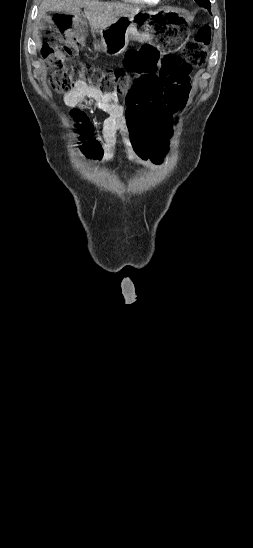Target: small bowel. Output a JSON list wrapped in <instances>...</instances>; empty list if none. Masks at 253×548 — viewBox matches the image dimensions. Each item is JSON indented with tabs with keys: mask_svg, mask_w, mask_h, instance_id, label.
I'll return each mask as SVG.
<instances>
[{
	"mask_svg": "<svg viewBox=\"0 0 253 548\" xmlns=\"http://www.w3.org/2000/svg\"><path fill=\"white\" fill-rule=\"evenodd\" d=\"M152 60L160 59L158 56ZM190 90V87H189ZM64 101L68 106H75L86 102L89 105L107 114V118L101 127L100 153L97 157L102 163H107L113 159L116 153V136L121 134L125 145V157L127 160L136 164L156 167L152 159H139L136 157V150L133 142L130 140L131 133L129 126L126 125L127 107L119 103L117 93H104L99 89L88 86L84 81H78L74 88L68 92Z\"/></svg>",
	"mask_w": 253,
	"mask_h": 548,
	"instance_id": "small-bowel-1",
	"label": "small bowel"
}]
</instances>
